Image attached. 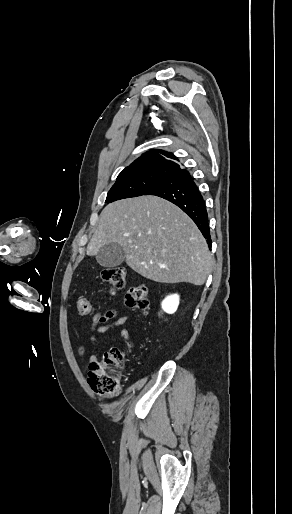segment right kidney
I'll return each instance as SVG.
<instances>
[{
    "instance_id": "ca27d5eb",
    "label": "right kidney",
    "mask_w": 292,
    "mask_h": 514,
    "mask_svg": "<svg viewBox=\"0 0 292 514\" xmlns=\"http://www.w3.org/2000/svg\"><path fill=\"white\" fill-rule=\"evenodd\" d=\"M162 310L166 312V314H174L179 306V296L178 294H172V296H167L165 300H163Z\"/></svg>"
}]
</instances>
